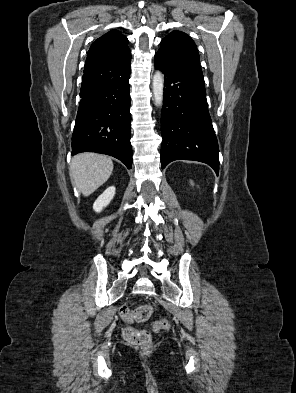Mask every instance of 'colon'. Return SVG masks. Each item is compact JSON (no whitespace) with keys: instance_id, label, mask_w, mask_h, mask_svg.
Listing matches in <instances>:
<instances>
[{"instance_id":"colon-1","label":"colon","mask_w":296,"mask_h":393,"mask_svg":"<svg viewBox=\"0 0 296 393\" xmlns=\"http://www.w3.org/2000/svg\"><path fill=\"white\" fill-rule=\"evenodd\" d=\"M153 307L151 305H139L135 308L123 307L121 309V316L127 322L137 321L145 322L153 314ZM170 322L166 319L159 320L153 323L152 330L157 332L163 329H168ZM124 335L129 343L141 348L151 347V336L147 331L137 330L134 328H126Z\"/></svg>"}]
</instances>
